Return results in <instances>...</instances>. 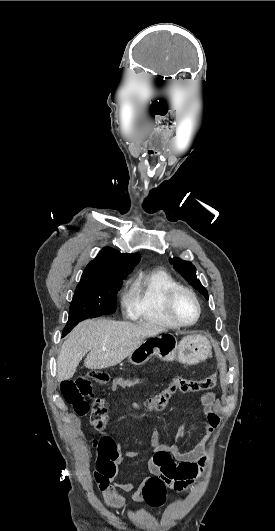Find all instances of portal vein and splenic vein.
Returning a JSON list of instances; mask_svg holds the SVG:
<instances>
[{"label":"portal vein and splenic vein","mask_w":275,"mask_h":531,"mask_svg":"<svg viewBox=\"0 0 275 531\" xmlns=\"http://www.w3.org/2000/svg\"><path fill=\"white\" fill-rule=\"evenodd\" d=\"M102 351H108V349H102Z\"/></svg>","instance_id":"portal-vein-and-splenic-vein-1"}]
</instances>
